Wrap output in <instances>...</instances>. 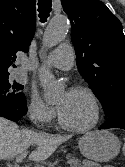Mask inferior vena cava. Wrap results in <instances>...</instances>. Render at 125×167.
<instances>
[{"mask_svg": "<svg viewBox=\"0 0 125 167\" xmlns=\"http://www.w3.org/2000/svg\"><path fill=\"white\" fill-rule=\"evenodd\" d=\"M30 117L33 119V114H31Z\"/></svg>", "mask_w": 125, "mask_h": 167, "instance_id": "inferior-vena-cava-1", "label": "inferior vena cava"}]
</instances>
